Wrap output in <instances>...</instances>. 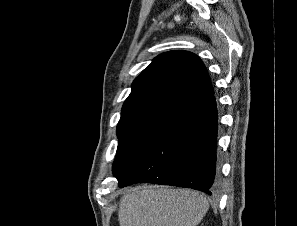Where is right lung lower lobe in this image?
Instances as JSON below:
<instances>
[{
    "mask_svg": "<svg viewBox=\"0 0 297 226\" xmlns=\"http://www.w3.org/2000/svg\"><path fill=\"white\" fill-rule=\"evenodd\" d=\"M218 114L214 95L169 118L119 187L149 182L192 188L211 195L216 176Z\"/></svg>",
    "mask_w": 297,
    "mask_h": 226,
    "instance_id": "1",
    "label": "right lung lower lobe"
}]
</instances>
